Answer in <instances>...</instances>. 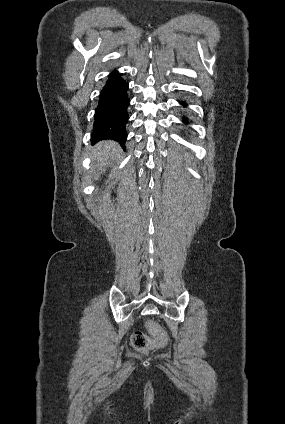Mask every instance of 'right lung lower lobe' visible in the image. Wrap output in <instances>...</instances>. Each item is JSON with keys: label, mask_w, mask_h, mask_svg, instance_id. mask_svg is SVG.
Segmentation results:
<instances>
[{"label": "right lung lower lobe", "mask_w": 285, "mask_h": 424, "mask_svg": "<svg viewBox=\"0 0 285 424\" xmlns=\"http://www.w3.org/2000/svg\"><path fill=\"white\" fill-rule=\"evenodd\" d=\"M128 83L125 82L117 71L109 74L106 84L99 95L98 106L95 111L93 124L92 143L100 140H116L125 148L127 138L125 124L128 121L127 96Z\"/></svg>", "instance_id": "1"}]
</instances>
